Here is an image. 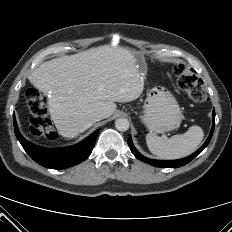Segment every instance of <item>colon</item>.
<instances>
[{
    "label": "colon",
    "instance_id": "colon-1",
    "mask_svg": "<svg viewBox=\"0 0 232 232\" xmlns=\"http://www.w3.org/2000/svg\"><path fill=\"white\" fill-rule=\"evenodd\" d=\"M180 91L196 102L202 103L207 100L203 82L188 70L183 64H176L172 68ZM26 103L30 110V133L35 137H44L48 140H55L57 133L52 127L47 114V101L41 92L31 87L25 93Z\"/></svg>",
    "mask_w": 232,
    "mask_h": 232
}]
</instances>
